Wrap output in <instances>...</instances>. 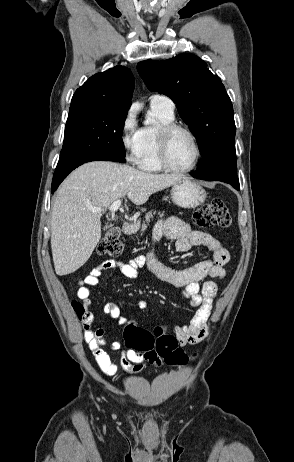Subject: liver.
I'll list each match as a JSON object with an SVG mask.
<instances>
[{
  "mask_svg": "<svg viewBox=\"0 0 294 462\" xmlns=\"http://www.w3.org/2000/svg\"><path fill=\"white\" fill-rule=\"evenodd\" d=\"M184 175L152 174L129 165L94 161L73 171L57 191L51 213V249L56 274L68 275L90 258L101 238V212L125 195L143 205ZM90 207L102 209L93 213Z\"/></svg>",
  "mask_w": 294,
  "mask_h": 462,
  "instance_id": "1",
  "label": "liver"
}]
</instances>
